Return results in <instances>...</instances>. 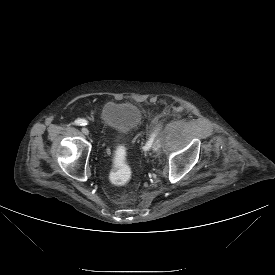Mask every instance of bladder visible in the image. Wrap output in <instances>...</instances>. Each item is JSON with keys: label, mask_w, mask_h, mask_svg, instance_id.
I'll list each match as a JSON object with an SVG mask.
<instances>
[{"label": "bladder", "mask_w": 275, "mask_h": 275, "mask_svg": "<svg viewBox=\"0 0 275 275\" xmlns=\"http://www.w3.org/2000/svg\"><path fill=\"white\" fill-rule=\"evenodd\" d=\"M141 121V109L127 101H109L100 111V123L103 128L122 136L133 132Z\"/></svg>", "instance_id": "obj_1"}]
</instances>
